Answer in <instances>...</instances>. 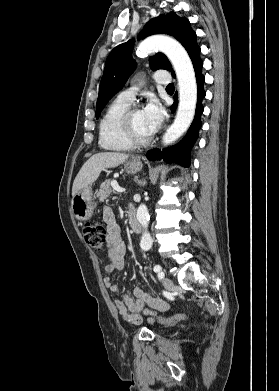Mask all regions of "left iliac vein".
<instances>
[{
    "instance_id": "obj_1",
    "label": "left iliac vein",
    "mask_w": 279,
    "mask_h": 391,
    "mask_svg": "<svg viewBox=\"0 0 279 391\" xmlns=\"http://www.w3.org/2000/svg\"><path fill=\"white\" fill-rule=\"evenodd\" d=\"M162 283H163V286L168 290L172 289L174 286L172 280L167 277L163 278Z\"/></svg>"
}]
</instances>
